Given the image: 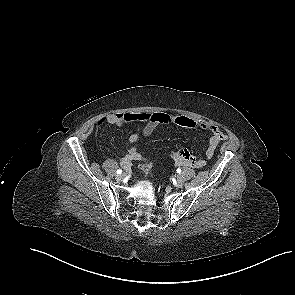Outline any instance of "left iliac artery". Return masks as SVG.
Wrapping results in <instances>:
<instances>
[{"instance_id": "44dca946", "label": "left iliac artery", "mask_w": 295, "mask_h": 295, "mask_svg": "<svg viewBox=\"0 0 295 295\" xmlns=\"http://www.w3.org/2000/svg\"><path fill=\"white\" fill-rule=\"evenodd\" d=\"M176 171H177V173H180V172H181V169H180V168H178Z\"/></svg>"}]
</instances>
